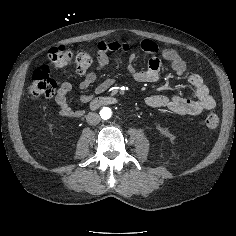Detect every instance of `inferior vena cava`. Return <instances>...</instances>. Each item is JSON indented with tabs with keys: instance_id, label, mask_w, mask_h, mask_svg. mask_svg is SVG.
Wrapping results in <instances>:
<instances>
[{
	"instance_id": "1",
	"label": "inferior vena cava",
	"mask_w": 236,
	"mask_h": 236,
	"mask_svg": "<svg viewBox=\"0 0 236 236\" xmlns=\"http://www.w3.org/2000/svg\"><path fill=\"white\" fill-rule=\"evenodd\" d=\"M86 121L89 125H97L101 121V118L99 114L95 112H89L86 116Z\"/></svg>"
}]
</instances>
